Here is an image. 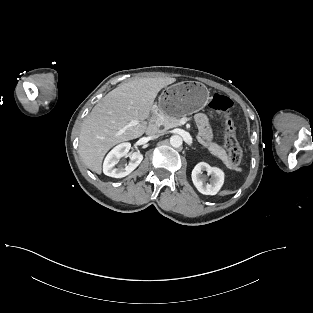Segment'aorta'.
<instances>
[{"mask_svg":"<svg viewBox=\"0 0 313 313\" xmlns=\"http://www.w3.org/2000/svg\"><path fill=\"white\" fill-rule=\"evenodd\" d=\"M183 143V140L182 138L179 136V135H172L170 137V144L171 146L175 147V148H178L182 145Z\"/></svg>","mask_w":313,"mask_h":313,"instance_id":"obj_1","label":"aorta"}]
</instances>
